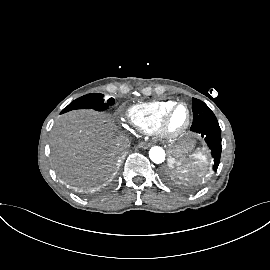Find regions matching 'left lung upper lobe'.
Returning a JSON list of instances; mask_svg holds the SVG:
<instances>
[{
	"label": "left lung upper lobe",
	"mask_w": 270,
	"mask_h": 270,
	"mask_svg": "<svg viewBox=\"0 0 270 270\" xmlns=\"http://www.w3.org/2000/svg\"><path fill=\"white\" fill-rule=\"evenodd\" d=\"M193 123L191 128L197 127L204 123L218 122L214 113L201 100L193 98Z\"/></svg>",
	"instance_id": "left-lung-upper-lobe-1"
}]
</instances>
